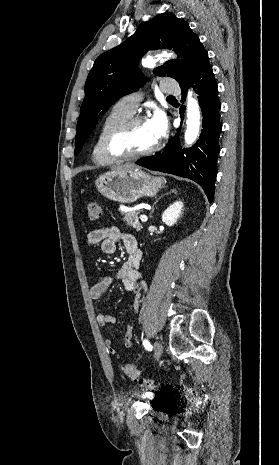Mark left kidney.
Here are the masks:
<instances>
[{
    "label": "left kidney",
    "mask_w": 279,
    "mask_h": 465,
    "mask_svg": "<svg viewBox=\"0 0 279 465\" xmlns=\"http://www.w3.org/2000/svg\"><path fill=\"white\" fill-rule=\"evenodd\" d=\"M183 206L184 205L182 201L174 202L163 212L162 221L168 226H173L176 224L177 220L182 215Z\"/></svg>",
    "instance_id": "obj_1"
}]
</instances>
